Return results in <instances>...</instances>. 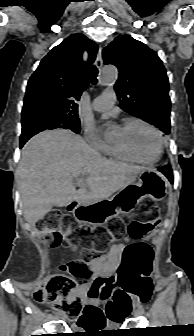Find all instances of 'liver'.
Returning a JSON list of instances; mask_svg holds the SVG:
<instances>
[{
    "label": "liver",
    "instance_id": "6515ba94",
    "mask_svg": "<svg viewBox=\"0 0 194 336\" xmlns=\"http://www.w3.org/2000/svg\"><path fill=\"white\" fill-rule=\"evenodd\" d=\"M141 171L139 166L106 159L71 131L39 133L24 145L18 167L25 220L35 226L53 206L106 200L131 185ZM84 175L85 180L74 183Z\"/></svg>",
    "mask_w": 194,
    "mask_h": 336
}]
</instances>
